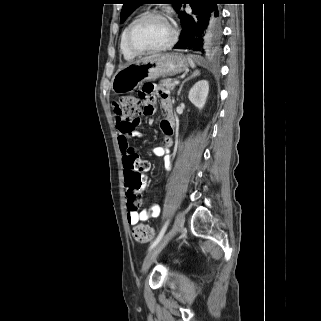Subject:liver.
Listing matches in <instances>:
<instances>
[{
	"mask_svg": "<svg viewBox=\"0 0 321 321\" xmlns=\"http://www.w3.org/2000/svg\"><path fill=\"white\" fill-rule=\"evenodd\" d=\"M157 56H159V55H153V56H150V57H146V58H144V59H150V58H154V57H157ZM143 60V59H142Z\"/></svg>",
	"mask_w": 321,
	"mask_h": 321,
	"instance_id": "obj_1",
	"label": "liver"
}]
</instances>
